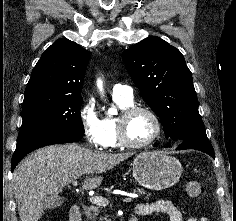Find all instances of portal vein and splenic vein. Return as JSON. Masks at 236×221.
Segmentation results:
<instances>
[{"instance_id": "obj_1", "label": "portal vein and splenic vein", "mask_w": 236, "mask_h": 221, "mask_svg": "<svg viewBox=\"0 0 236 221\" xmlns=\"http://www.w3.org/2000/svg\"><path fill=\"white\" fill-rule=\"evenodd\" d=\"M72 185L73 186H76L77 185V181L74 180L72 181ZM90 202L92 204H95V205H98V206H107L109 204V200L105 197H102V196H92L89 198ZM133 200L132 197H125L122 199L123 202H131Z\"/></svg>"}]
</instances>
